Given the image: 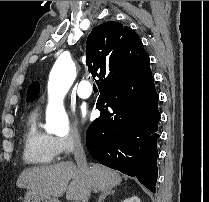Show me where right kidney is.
Wrapping results in <instances>:
<instances>
[{
	"label": "right kidney",
	"mask_w": 209,
	"mask_h": 202,
	"mask_svg": "<svg viewBox=\"0 0 209 202\" xmlns=\"http://www.w3.org/2000/svg\"><path fill=\"white\" fill-rule=\"evenodd\" d=\"M122 202H141L139 197L137 196H132L130 198H127L125 200H123Z\"/></svg>",
	"instance_id": "ca27d5eb"
}]
</instances>
